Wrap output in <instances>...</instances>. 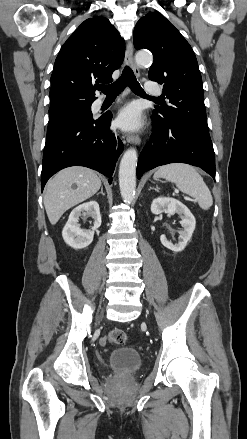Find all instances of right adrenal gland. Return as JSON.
Masks as SVG:
<instances>
[{"mask_svg": "<svg viewBox=\"0 0 247 439\" xmlns=\"http://www.w3.org/2000/svg\"><path fill=\"white\" fill-rule=\"evenodd\" d=\"M99 194H102L103 196H105V194H104V192H103V186H101V191H100L99 193H97V196H98Z\"/></svg>", "mask_w": 247, "mask_h": 439, "instance_id": "1", "label": "right adrenal gland"}]
</instances>
